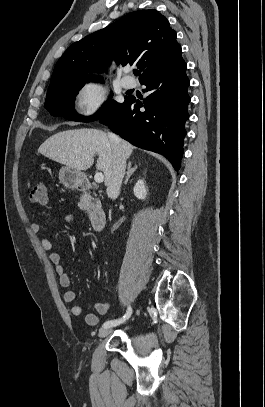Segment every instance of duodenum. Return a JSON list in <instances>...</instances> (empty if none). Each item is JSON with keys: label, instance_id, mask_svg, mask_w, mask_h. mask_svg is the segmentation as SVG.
<instances>
[{"label": "duodenum", "instance_id": "1", "mask_svg": "<svg viewBox=\"0 0 265 407\" xmlns=\"http://www.w3.org/2000/svg\"><path fill=\"white\" fill-rule=\"evenodd\" d=\"M80 190L88 191L90 189V183L88 181H84L79 186ZM89 218L92 225V228L95 231H101L106 224V214L103 209L99 207H91L89 209Z\"/></svg>", "mask_w": 265, "mask_h": 407}]
</instances>
